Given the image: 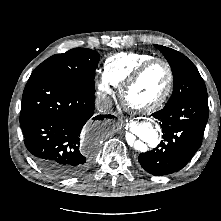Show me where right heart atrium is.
Returning <instances> with one entry per match:
<instances>
[{
	"label": "right heart atrium",
	"instance_id": "right-heart-atrium-1",
	"mask_svg": "<svg viewBox=\"0 0 221 221\" xmlns=\"http://www.w3.org/2000/svg\"><path fill=\"white\" fill-rule=\"evenodd\" d=\"M114 86L115 85L109 81L105 74H103L97 82L98 96L105 102H108L113 95Z\"/></svg>",
	"mask_w": 221,
	"mask_h": 221
}]
</instances>
